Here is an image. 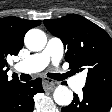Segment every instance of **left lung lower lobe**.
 Listing matches in <instances>:
<instances>
[{
  "instance_id": "1",
  "label": "left lung lower lobe",
  "mask_w": 112,
  "mask_h": 112,
  "mask_svg": "<svg viewBox=\"0 0 112 112\" xmlns=\"http://www.w3.org/2000/svg\"><path fill=\"white\" fill-rule=\"evenodd\" d=\"M112 106V90L85 86L83 96L74 94L73 102L61 112H108Z\"/></svg>"
}]
</instances>
